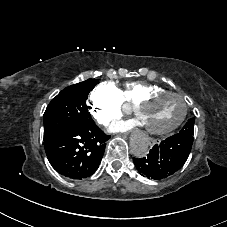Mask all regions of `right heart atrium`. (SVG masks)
<instances>
[{
  "instance_id": "right-heart-atrium-1",
  "label": "right heart atrium",
  "mask_w": 227,
  "mask_h": 227,
  "mask_svg": "<svg viewBox=\"0 0 227 227\" xmlns=\"http://www.w3.org/2000/svg\"><path fill=\"white\" fill-rule=\"evenodd\" d=\"M92 115L102 125L119 121L124 113L120 89L112 82L97 85L90 94Z\"/></svg>"
}]
</instances>
